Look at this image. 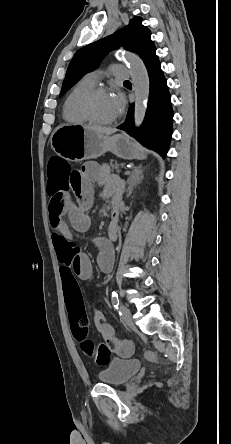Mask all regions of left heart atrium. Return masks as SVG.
Here are the masks:
<instances>
[{"mask_svg":"<svg viewBox=\"0 0 231 444\" xmlns=\"http://www.w3.org/2000/svg\"><path fill=\"white\" fill-rule=\"evenodd\" d=\"M111 98H112V102L115 107V110L117 111V113H120L123 109V106H124V101H123L122 96L118 93H113V94H111Z\"/></svg>","mask_w":231,"mask_h":444,"instance_id":"39dd6f15","label":"left heart atrium"}]
</instances>
